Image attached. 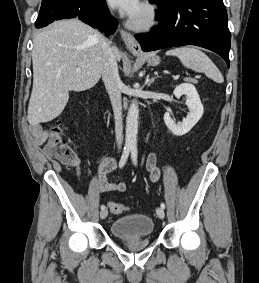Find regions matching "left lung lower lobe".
<instances>
[{
	"instance_id": "left-lung-lower-lobe-1",
	"label": "left lung lower lobe",
	"mask_w": 259,
	"mask_h": 283,
	"mask_svg": "<svg viewBox=\"0 0 259 283\" xmlns=\"http://www.w3.org/2000/svg\"><path fill=\"white\" fill-rule=\"evenodd\" d=\"M159 6L158 27L135 35L143 51L196 45L209 49L229 61L230 32L223 0H178L173 5Z\"/></svg>"
}]
</instances>
